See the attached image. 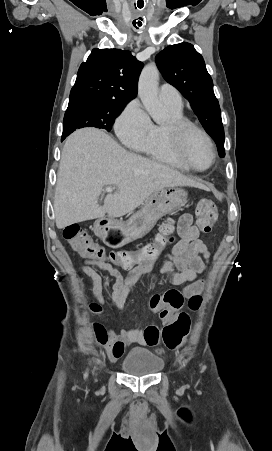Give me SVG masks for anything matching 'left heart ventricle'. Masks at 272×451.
Wrapping results in <instances>:
<instances>
[{
	"label": "left heart ventricle",
	"instance_id": "left-heart-ventricle-1",
	"mask_svg": "<svg viewBox=\"0 0 272 451\" xmlns=\"http://www.w3.org/2000/svg\"><path fill=\"white\" fill-rule=\"evenodd\" d=\"M184 160L188 166L196 170H204L210 163V152L197 133H190L187 137Z\"/></svg>",
	"mask_w": 272,
	"mask_h": 451
}]
</instances>
